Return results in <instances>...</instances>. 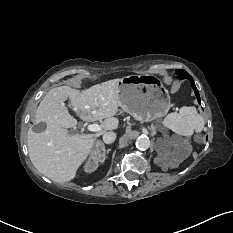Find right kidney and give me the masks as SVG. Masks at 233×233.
<instances>
[{"instance_id": "obj_1", "label": "right kidney", "mask_w": 233, "mask_h": 233, "mask_svg": "<svg viewBox=\"0 0 233 233\" xmlns=\"http://www.w3.org/2000/svg\"><path fill=\"white\" fill-rule=\"evenodd\" d=\"M105 161V156L103 155H98V153L92 152V154L90 155L89 160L85 163L84 165V171L86 173H92L94 172L97 168L99 163H103Z\"/></svg>"}]
</instances>
